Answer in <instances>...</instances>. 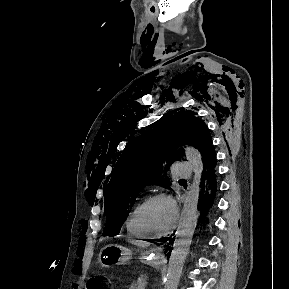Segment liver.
Listing matches in <instances>:
<instances>
[{
    "mask_svg": "<svg viewBox=\"0 0 289 289\" xmlns=\"http://www.w3.org/2000/svg\"><path fill=\"white\" fill-rule=\"evenodd\" d=\"M134 245H137V246H141V247H145L147 246V243L143 242V241H138V240H135V241H131Z\"/></svg>",
    "mask_w": 289,
    "mask_h": 289,
    "instance_id": "obj_1",
    "label": "liver"
}]
</instances>
